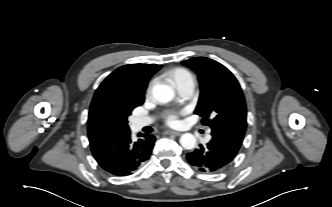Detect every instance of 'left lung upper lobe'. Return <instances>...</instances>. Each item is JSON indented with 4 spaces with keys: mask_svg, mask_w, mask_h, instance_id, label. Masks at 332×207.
<instances>
[{
    "mask_svg": "<svg viewBox=\"0 0 332 207\" xmlns=\"http://www.w3.org/2000/svg\"><path fill=\"white\" fill-rule=\"evenodd\" d=\"M182 63L198 75L201 93L194 113L202 117V124L244 134L246 103L234 75L222 64L206 57L191 58Z\"/></svg>",
    "mask_w": 332,
    "mask_h": 207,
    "instance_id": "obj_1",
    "label": "left lung upper lobe"
}]
</instances>
